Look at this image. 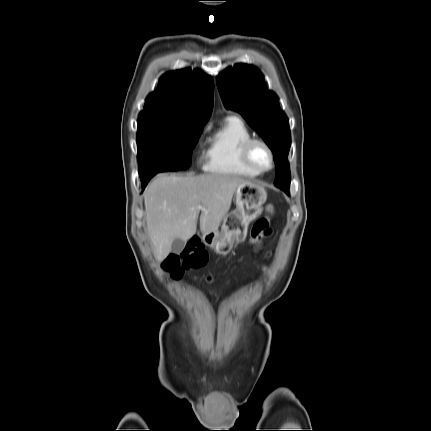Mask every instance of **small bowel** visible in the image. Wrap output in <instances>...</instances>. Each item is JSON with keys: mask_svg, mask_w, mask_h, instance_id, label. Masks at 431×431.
I'll use <instances>...</instances> for the list:
<instances>
[{"mask_svg": "<svg viewBox=\"0 0 431 431\" xmlns=\"http://www.w3.org/2000/svg\"><path fill=\"white\" fill-rule=\"evenodd\" d=\"M270 232V231H269ZM269 232H268V234H269ZM268 234H266V235H268ZM265 235V236H266ZM264 236V237H265ZM263 238V237H262ZM262 238H256V241L255 242H251L252 244H256V243H259L260 242V240L262 239ZM260 268L264 271V272H268L269 271V269L265 266V265H260Z\"/></svg>", "mask_w": 431, "mask_h": 431, "instance_id": "obj_1", "label": "small bowel"}]
</instances>
